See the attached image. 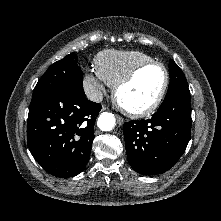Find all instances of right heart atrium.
<instances>
[{"label":"right heart atrium","instance_id":"1","mask_svg":"<svg viewBox=\"0 0 221 221\" xmlns=\"http://www.w3.org/2000/svg\"><path fill=\"white\" fill-rule=\"evenodd\" d=\"M104 88V80L94 72H87L83 79V89L88 98L97 99Z\"/></svg>","mask_w":221,"mask_h":221}]
</instances>
